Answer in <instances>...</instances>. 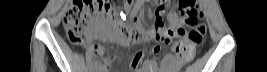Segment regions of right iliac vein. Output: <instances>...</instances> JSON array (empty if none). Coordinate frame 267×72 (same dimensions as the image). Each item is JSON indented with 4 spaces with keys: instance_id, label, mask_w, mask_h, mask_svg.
I'll return each instance as SVG.
<instances>
[{
    "instance_id": "1",
    "label": "right iliac vein",
    "mask_w": 267,
    "mask_h": 72,
    "mask_svg": "<svg viewBox=\"0 0 267 72\" xmlns=\"http://www.w3.org/2000/svg\"><path fill=\"white\" fill-rule=\"evenodd\" d=\"M91 72H97V68L94 66Z\"/></svg>"
}]
</instances>
